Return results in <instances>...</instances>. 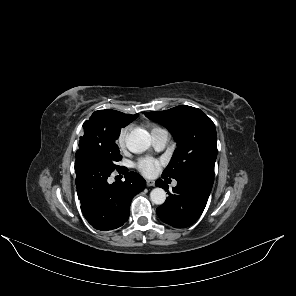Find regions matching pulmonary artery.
Instances as JSON below:
<instances>
[{
	"instance_id": "e3ab8cb5",
	"label": "pulmonary artery",
	"mask_w": 296,
	"mask_h": 296,
	"mask_svg": "<svg viewBox=\"0 0 296 296\" xmlns=\"http://www.w3.org/2000/svg\"><path fill=\"white\" fill-rule=\"evenodd\" d=\"M151 137H152V143H153V146H154L157 150H162V149L166 146V144H167V142H168V140H169V134H168V132H167L166 130H164V129H161V130H159V131L153 133V134L151 135ZM173 185L176 186L177 183L174 182Z\"/></svg>"
}]
</instances>
